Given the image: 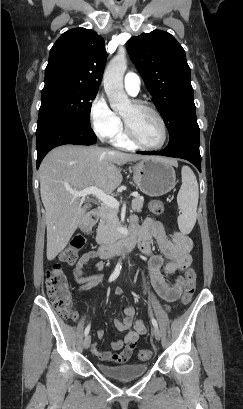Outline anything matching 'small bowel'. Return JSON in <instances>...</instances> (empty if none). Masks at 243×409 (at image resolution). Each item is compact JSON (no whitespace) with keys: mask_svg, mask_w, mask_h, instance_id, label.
Here are the masks:
<instances>
[{"mask_svg":"<svg viewBox=\"0 0 243 409\" xmlns=\"http://www.w3.org/2000/svg\"><path fill=\"white\" fill-rule=\"evenodd\" d=\"M131 230L139 235V246L142 253L148 259L149 273L153 288L157 294L167 303L176 301L180 295L185 283L182 276H177L175 283L170 285L166 282L164 274L172 275L179 270H183L191 264V251L193 243L190 237L178 230L173 229L167 232L164 225L156 218H148L141 225L138 224L136 217L131 218ZM157 241L160 251L168 259L164 263L163 256L153 252L151 238ZM99 253L96 251L85 252L72 271L74 281L82 285L79 293L85 290V283L98 284L102 282L103 276H86V270L91 266L94 269L101 270L104 267L103 262L96 261ZM122 289H114L115 295H121ZM134 308L127 306L123 310V317L115 320V327L124 332L121 339L111 342V348L121 349L118 353L101 350L97 343L92 344V353L102 361L123 362L130 358L135 349L139 337L146 332V323L143 319L136 320L133 325ZM98 338L104 337V331H98Z\"/></svg>","mask_w":243,"mask_h":409,"instance_id":"1","label":"small bowel"}]
</instances>
